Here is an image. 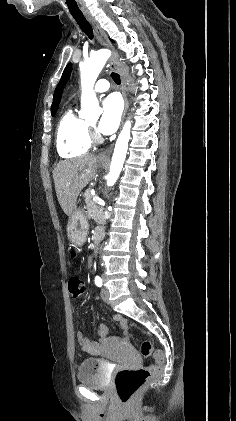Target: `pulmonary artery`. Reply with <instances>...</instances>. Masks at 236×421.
<instances>
[{
	"label": "pulmonary artery",
	"instance_id": "1",
	"mask_svg": "<svg viewBox=\"0 0 236 421\" xmlns=\"http://www.w3.org/2000/svg\"><path fill=\"white\" fill-rule=\"evenodd\" d=\"M110 87V83L106 78L100 79L94 86L96 92L107 91Z\"/></svg>",
	"mask_w": 236,
	"mask_h": 421
}]
</instances>
